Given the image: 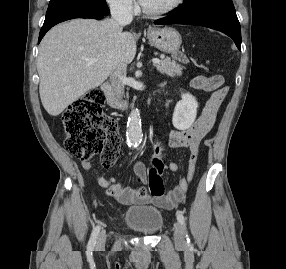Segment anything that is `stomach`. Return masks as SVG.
<instances>
[{"instance_id":"stomach-1","label":"stomach","mask_w":286,"mask_h":269,"mask_svg":"<svg viewBox=\"0 0 286 269\" xmlns=\"http://www.w3.org/2000/svg\"><path fill=\"white\" fill-rule=\"evenodd\" d=\"M147 36L152 46L173 56V49H179L182 42L179 32L172 27L151 28Z\"/></svg>"}]
</instances>
